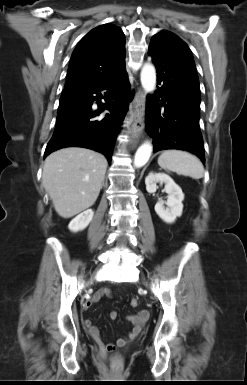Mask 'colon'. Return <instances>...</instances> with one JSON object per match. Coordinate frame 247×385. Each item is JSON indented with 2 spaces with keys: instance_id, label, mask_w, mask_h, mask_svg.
Instances as JSON below:
<instances>
[{
  "instance_id": "1",
  "label": "colon",
  "mask_w": 247,
  "mask_h": 385,
  "mask_svg": "<svg viewBox=\"0 0 247 385\" xmlns=\"http://www.w3.org/2000/svg\"><path fill=\"white\" fill-rule=\"evenodd\" d=\"M138 304H139V302H138L137 299H133V300L131 301V306H132V307H137ZM112 349H113L112 346H109V347H108V350H112Z\"/></svg>"
}]
</instances>
